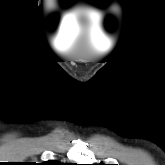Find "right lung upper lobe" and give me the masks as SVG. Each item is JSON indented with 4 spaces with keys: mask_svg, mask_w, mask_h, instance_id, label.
<instances>
[{
    "mask_svg": "<svg viewBox=\"0 0 165 165\" xmlns=\"http://www.w3.org/2000/svg\"><path fill=\"white\" fill-rule=\"evenodd\" d=\"M43 165H62V163L56 162V161H48L45 163H42Z\"/></svg>",
    "mask_w": 165,
    "mask_h": 165,
    "instance_id": "1",
    "label": "right lung upper lobe"
}]
</instances>
